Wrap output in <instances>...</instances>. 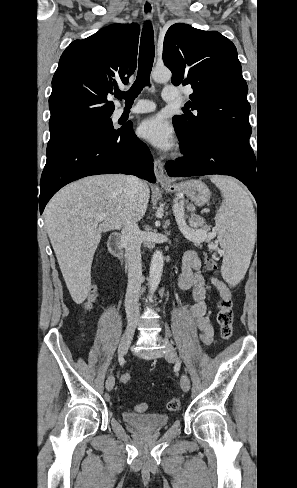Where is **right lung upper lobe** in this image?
<instances>
[{
	"label": "right lung upper lobe",
	"mask_w": 297,
	"mask_h": 488,
	"mask_svg": "<svg viewBox=\"0 0 297 488\" xmlns=\"http://www.w3.org/2000/svg\"><path fill=\"white\" fill-rule=\"evenodd\" d=\"M139 31L137 24H113L66 48L52 79L50 133L111 116L113 90L137 66Z\"/></svg>",
	"instance_id": "cb5924a9"
}]
</instances>
